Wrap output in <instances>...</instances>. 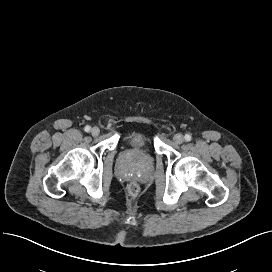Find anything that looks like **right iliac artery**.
I'll return each mask as SVG.
<instances>
[{
	"label": "right iliac artery",
	"instance_id": "1",
	"mask_svg": "<svg viewBox=\"0 0 272 272\" xmlns=\"http://www.w3.org/2000/svg\"><path fill=\"white\" fill-rule=\"evenodd\" d=\"M90 129H91V128H90V126H88V125L84 128V130H85L86 132H89Z\"/></svg>",
	"mask_w": 272,
	"mask_h": 272
}]
</instances>
